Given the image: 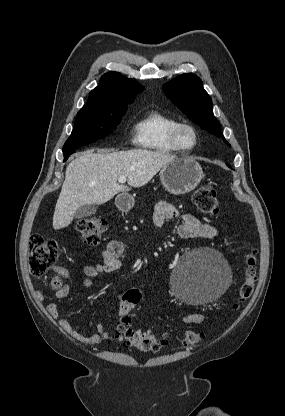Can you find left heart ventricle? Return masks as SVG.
I'll return each mask as SVG.
<instances>
[{
  "instance_id": "left-heart-ventricle-1",
  "label": "left heart ventricle",
  "mask_w": 285,
  "mask_h": 416,
  "mask_svg": "<svg viewBox=\"0 0 285 416\" xmlns=\"http://www.w3.org/2000/svg\"><path fill=\"white\" fill-rule=\"evenodd\" d=\"M181 140H182V143L188 147L194 144V137L192 133L187 129L181 132Z\"/></svg>"
}]
</instances>
